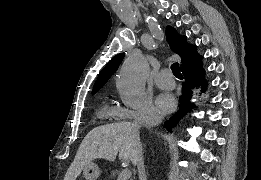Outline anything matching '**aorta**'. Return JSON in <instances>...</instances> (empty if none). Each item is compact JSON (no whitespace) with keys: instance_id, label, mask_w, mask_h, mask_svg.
I'll use <instances>...</instances> for the list:
<instances>
[{"instance_id":"762f6f07","label":"aorta","mask_w":261,"mask_h":180,"mask_svg":"<svg viewBox=\"0 0 261 180\" xmlns=\"http://www.w3.org/2000/svg\"><path fill=\"white\" fill-rule=\"evenodd\" d=\"M147 71L148 62L141 54H130L124 61L116 85L126 106L138 109L143 105Z\"/></svg>"}]
</instances>
